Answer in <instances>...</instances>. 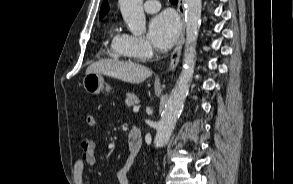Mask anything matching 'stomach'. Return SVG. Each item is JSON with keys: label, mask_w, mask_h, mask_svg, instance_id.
<instances>
[{"label": "stomach", "mask_w": 293, "mask_h": 184, "mask_svg": "<svg viewBox=\"0 0 293 184\" xmlns=\"http://www.w3.org/2000/svg\"><path fill=\"white\" fill-rule=\"evenodd\" d=\"M84 89L90 94H99L101 91L105 90L109 92L111 90L110 85H108L102 74L100 73H89L83 79Z\"/></svg>", "instance_id": "1"}]
</instances>
